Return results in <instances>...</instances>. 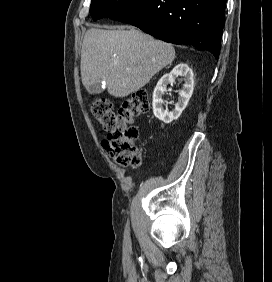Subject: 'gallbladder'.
<instances>
[{
	"label": "gallbladder",
	"instance_id": "bac80fb5",
	"mask_svg": "<svg viewBox=\"0 0 272 282\" xmlns=\"http://www.w3.org/2000/svg\"><path fill=\"white\" fill-rule=\"evenodd\" d=\"M88 91L93 94H99L103 91V88L100 83L91 86Z\"/></svg>",
	"mask_w": 272,
	"mask_h": 282
}]
</instances>
